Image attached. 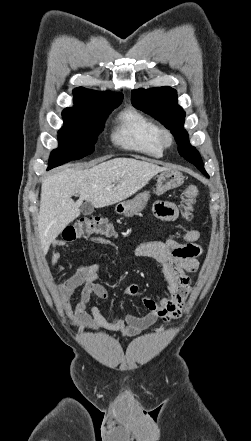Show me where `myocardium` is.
<instances>
[{
	"mask_svg": "<svg viewBox=\"0 0 251 441\" xmlns=\"http://www.w3.org/2000/svg\"><path fill=\"white\" fill-rule=\"evenodd\" d=\"M158 140L163 148H169L174 143V135L170 129L166 127H160L158 131Z\"/></svg>",
	"mask_w": 251,
	"mask_h": 441,
	"instance_id": "myocardium-1",
	"label": "myocardium"
}]
</instances>
